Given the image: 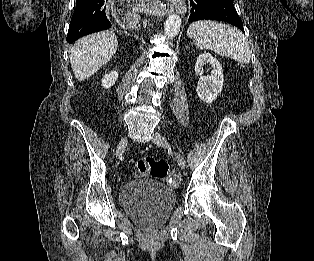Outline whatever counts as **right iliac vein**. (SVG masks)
<instances>
[{"label": "right iliac vein", "instance_id": "obj_1", "mask_svg": "<svg viewBox=\"0 0 314 261\" xmlns=\"http://www.w3.org/2000/svg\"><path fill=\"white\" fill-rule=\"evenodd\" d=\"M126 144H127V138H122L121 141L119 142L118 146H117V149H116V156L117 157H120Z\"/></svg>", "mask_w": 314, "mask_h": 261}]
</instances>
